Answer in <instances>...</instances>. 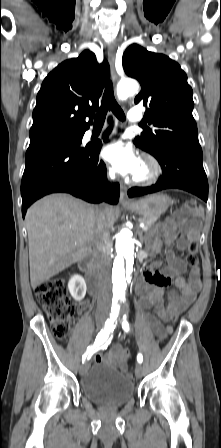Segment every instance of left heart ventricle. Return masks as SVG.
Segmentation results:
<instances>
[{
	"label": "left heart ventricle",
	"instance_id": "obj_1",
	"mask_svg": "<svg viewBox=\"0 0 221 448\" xmlns=\"http://www.w3.org/2000/svg\"><path fill=\"white\" fill-rule=\"evenodd\" d=\"M145 172H146V167H145V165H143V164L141 163V167H140V169H139L137 175H142V174H144Z\"/></svg>",
	"mask_w": 221,
	"mask_h": 448
}]
</instances>
